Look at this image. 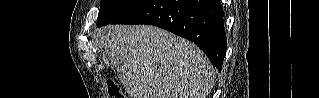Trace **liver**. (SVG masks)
Here are the masks:
<instances>
[{
    "instance_id": "obj_1",
    "label": "liver",
    "mask_w": 319,
    "mask_h": 98,
    "mask_svg": "<svg viewBox=\"0 0 319 98\" xmlns=\"http://www.w3.org/2000/svg\"><path fill=\"white\" fill-rule=\"evenodd\" d=\"M99 43L131 98H207L215 71L193 43L150 25H110Z\"/></svg>"
}]
</instances>
